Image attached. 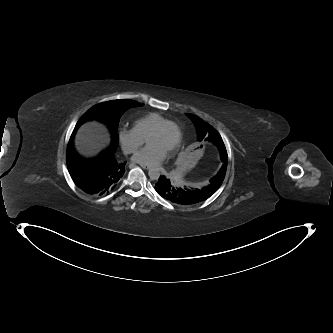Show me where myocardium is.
<instances>
[{"mask_svg":"<svg viewBox=\"0 0 333 333\" xmlns=\"http://www.w3.org/2000/svg\"><path fill=\"white\" fill-rule=\"evenodd\" d=\"M168 128H173L176 131V139L174 143L171 145V147L168 149V153L173 152L179 145L180 142V127L173 121H168L163 124H161L159 127H157L154 131L150 133L148 138L152 135L162 134L165 132Z\"/></svg>","mask_w":333,"mask_h":333,"instance_id":"1","label":"myocardium"}]
</instances>
